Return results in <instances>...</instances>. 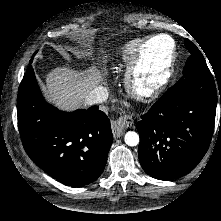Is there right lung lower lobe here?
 <instances>
[{"label": "right lung lower lobe", "instance_id": "obj_1", "mask_svg": "<svg viewBox=\"0 0 221 221\" xmlns=\"http://www.w3.org/2000/svg\"><path fill=\"white\" fill-rule=\"evenodd\" d=\"M17 113L26 153L49 176L73 187L99 178L113 135L107 115L98 106L74 112L52 107L29 66L19 86Z\"/></svg>", "mask_w": 221, "mask_h": 221}]
</instances>
